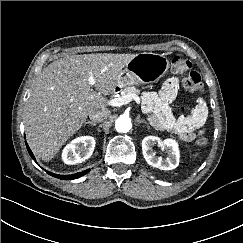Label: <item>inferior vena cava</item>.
Segmentation results:
<instances>
[{
    "instance_id": "602c4592",
    "label": "inferior vena cava",
    "mask_w": 243,
    "mask_h": 243,
    "mask_svg": "<svg viewBox=\"0 0 243 243\" xmlns=\"http://www.w3.org/2000/svg\"><path fill=\"white\" fill-rule=\"evenodd\" d=\"M108 116H109V110L107 108L95 109L89 113V118L93 122L105 121L108 118Z\"/></svg>"
}]
</instances>
